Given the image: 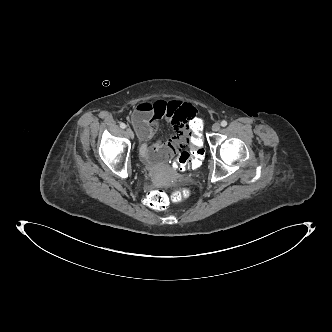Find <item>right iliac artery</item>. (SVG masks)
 I'll return each instance as SVG.
<instances>
[{
  "mask_svg": "<svg viewBox=\"0 0 332 332\" xmlns=\"http://www.w3.org/2000/svg\"><path fill=\"white\" fill-rule=\"evenodd\" d=\"M120 127H121L122 129H125V128H126L125 123H120Z\"/></svg>",
  "mask_w": 332,
  "mask_h": 332,
  "instance_id": "right-iliac-artery-1",
  "label": "right iliac artery"
}]
</instances>
